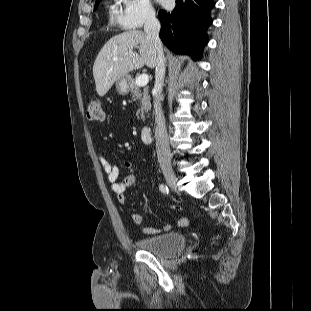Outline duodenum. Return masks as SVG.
Instances as JSON below:
<instances>
[{"instance_id":"1","label":"duodenum","mask_w":311,"mask_h":311,"mask_svg":"<svg viewBox=\"0 0 311 311\" xmlns=\"http://www.w3.org/2000/svg\"><path fill=\"white\" fill-rule=\"evenodd\" d=\"M141 137L143 142L148 143L151 141V128L149 126H143L141 128Z\"/></svg>"}]
</instances>
